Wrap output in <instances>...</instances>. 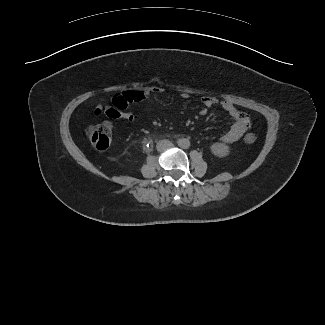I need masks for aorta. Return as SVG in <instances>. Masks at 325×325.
I'll list each match as a JSON object with an SVG mask.
<instances>
[{
    "mask_svg": "<svg viewBox=\"0 0 325 325\" xmlns=\"http://www.w3.org/2000/svg\"><path fill=\"white\" fill-rule=\"evenodd\" d=\"M178 145L181 148L187 149V148L190 147V141L188 139H186V138H182V139L178 140Z\"/></svg>",
    "mask_w": 325,
    "mask_h": 325,
    "instance_id": "762f6f07",
    "label": "aorta"
}]
</instances>
